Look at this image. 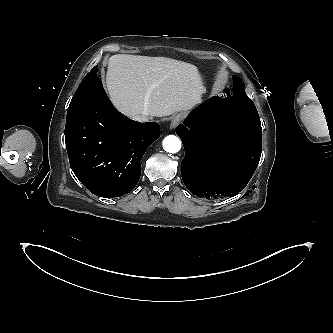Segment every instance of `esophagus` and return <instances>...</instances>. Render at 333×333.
I'll return each mask as SVG.
<instances>
[{"instance_id":"obj_1","label":"esophagus","mask_w":333,"mask_h":333,"mask_svg":"<svg viewBox=\"0 0 333 333\" xmlns=\"http://www.w3.org/2000/svg\"><path fill=\"white\" fill-rule=\"evenodd\" d=\"M183 118H184L183 114L175 115L171 120L170 129L176 128L182 122Z\"/></svg>"}]
</instances>
